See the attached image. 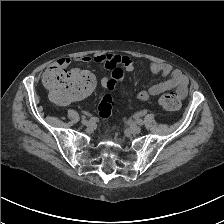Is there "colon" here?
Segmentation results:
<instances>
[{"label": "colon", "mask_w": 224, "mask_h": 224, "mask_svg": "<svg viewBox=\"0 0 224 224\" xmlns=\"http://www.w3.org/2000/svg\"><path fill=\"white\" fill-rule=\"evenodd\" d=\"M124 72L120 68L112 71L105 81L108 91H113L123 79ZM76 81V83H74ZM47 86L51 89L54 98L59 102H72L91 94L95 88L94 76L86 71H70L59 67L54 68L45 77ZM161 107L168 111L179 109L181 102L177 93L166 92L159 99ZM114 101L111 94H105L98 105L101 120L106 123L112 113Z\"/></svg>", "instance_id": "5ec220e1"}]
</instances>
